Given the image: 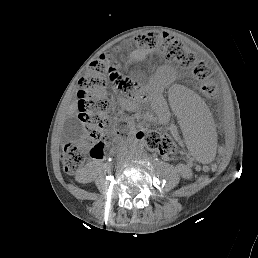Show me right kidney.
<instances>
[{"label":"right kidney","instance_id":"ca27d5eb","mask_svg":"<svg viewBox=\"0 0 258 258\" xmlns=\"http://www.w3.org/2000/svg\"><path fill=\"white\" fill-rule=\"evenodd\" d=\"M76 178H77V181L80 183H89L95 178V176H94V173L88 169V167H85L81 169V171L76 176Z\"/></svg>","mask_w":258,"mask_h":258}]
</instances>
